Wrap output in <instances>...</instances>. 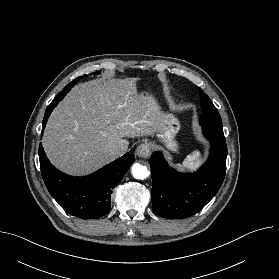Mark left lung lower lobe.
<instances>
[{"instance_id": "0a47b994", "label": "left lung lower lobe", "mask_w": 279, "mask_h": 279, "mask_svg": "<svg viewBox=\"0 0 279 279\" xmlns=\"http://www.w3.org/2000/svg\"><path fill=\"white\" fill-rule=\"evenodd\" d=\"M203 134L210 142V155L196 173H178L168 166L162 153L152 154V209L161 217L182 219L192 216L220 189L226 171V142L204 130Z\"/></svg>"}]
</instances>
